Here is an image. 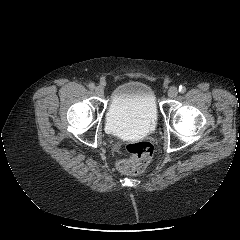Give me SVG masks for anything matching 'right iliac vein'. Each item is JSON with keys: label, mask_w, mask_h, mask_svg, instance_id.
I'll return each mask as SVG.
<instances>
[{"label": "right iliac vein", "mask_w": 240, "mask_h": 240, "mask_svg": "<svg viewBox=\"0 0 240 240\" xmlns=\"http://www.w3.org/2000/svg\"><path fill=\"white\" fill-rule=\"evenodd\" d=\"M95 94L99 97H103L104 96V90L102 87L98 86L95 88Z\"/></svg>", "instance_id": "1"}]
</instances>
